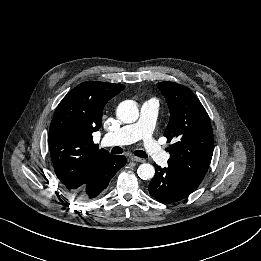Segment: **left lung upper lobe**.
<instances>
[{
    "mask_svg": "<svg viewBox=\"0 0 261 261\" xmlns=\"http://www.w3.org/2000/svg\"><path fill=\"white\" fill-rule=\"evenodd\" d=\"M158 88L170 109V120L164 136L176 142L168 148V168L181 183L195 190L203 180L213 153V132L203 105L187 87L161 82Z\"/></svg>",
    "mask_w": 261,
    "mask_h": 261,
    "instance_id": "obj_1",
    "label": "left lung upper lobe"
}]
</instances>
